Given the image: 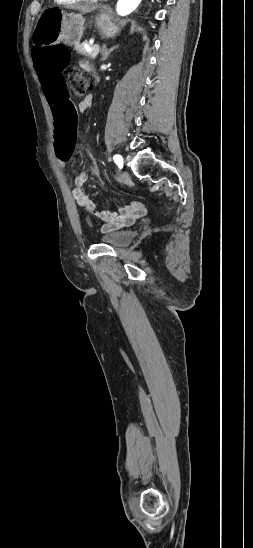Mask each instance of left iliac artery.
Segmentation results:
<instances>
[{"instance_id":"44dca946","label":"left iliac artery","mask_w":253,"mask_h":548,"mask_svg":"<svg viewBox=\"0 0 253 548\" xmlns=\"http://www.w3.org/2000/svg\"><path fill=\"white\" fill-rule=\"evenodd\" d=\"M114 162L117 164L119 168H122L123 166V158L121 155L116 154L113 156Z\"/></svg>"}]
</instances>
